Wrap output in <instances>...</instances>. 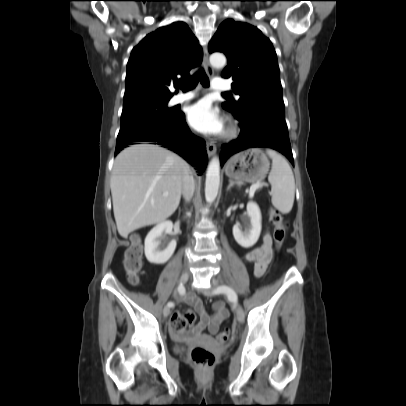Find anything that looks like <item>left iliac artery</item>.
<instances>
[{"mask_svg":"<svg viewBox=\"0 0 406 406\" xmlns=\"http://www.w3.org/2000/svg\"><path fill=\"white\" fill-rule=\"evenodd\" d=\"M213 294H226L228 299L231 301H235L237 299V295L235 293V291L226 285H222L217 287L214 291Z\"/></svg>","mask_w":406,"mask_h":406,"instance_id":"44dca946","label":"left iliac artery"}]
</instances>
